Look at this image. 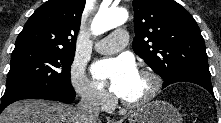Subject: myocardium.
Wrapping results in <instances>:
<instances>
[{"label":"myocardium","mask_w":221,"mask_h":123,"mask_svg":"<svg viewBox=\"0 0 221 123\" xmlns=\"http://www.w3.org/2000/svg\"><path fill=\"white\" fill-rule=\"evenodd\" d=\"M139 73L150 79L151 88L146 96L136 102H129L120 98L121 104L127 109L136 110L146 106L157 97L161 90L162 80L155 71L150 68H142L140 69Z\"/></svg>","instance_id":"myocardium-1"}]
</instances>
